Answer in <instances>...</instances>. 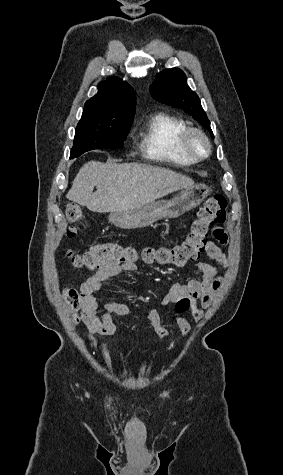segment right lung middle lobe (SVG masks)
<instances>
[{
    "label": "right lung middle lobe",
    "mask_w": 283,
    "mask_h": 475,
    "mask_svg": "<svg viewBox=\"0 0 283 475\" xmlns=\"http://www.w3.org/2000/svg\"><path fill=\"white\" fill-rule=\"evenodd\" d=\"M135 105L116 107L85 105L70 157L93 149H120L130 130Z\"/></svg>",
    "instance_id": "right-lung-middle-lobe-1"
}]
</instances>
